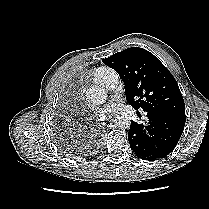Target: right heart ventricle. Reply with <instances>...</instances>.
<instances>
[{
	"label": "right heart ventricle",
	"instance_id": "1",
	"mask_svg": "<svg viewBox=\"0 0 209 209\" xmlns=\"http://www.w3.org/2000/svg\"><path fill=\"white\" fill-rule=\"evenodd\" d=\"M107 70H109V68H107V67H100V68L96 69L93 73L94 79L95 80L100 79L105 74V72Z\"/></svg>",
	"mask_w": 209,
	"mask_h": 209
}]
</instances>
